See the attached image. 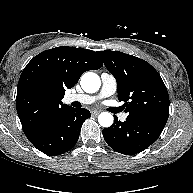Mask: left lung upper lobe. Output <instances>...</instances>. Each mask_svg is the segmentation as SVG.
<instances>
[{"instance_id":"5c2ea615","label":"left lung upper lobe","mask_w":193,"mask_h":193,"mask_svg":"<svg viewBox=\"0 0 193 193\" xmlns=\"http://www.w3.org/2000/svg\"><path fill=\"white\" fill-rule=\"evenodd\" d=\"M115 77L118 99L123 101L127 119L169 115V96L159 73L148 62L119 51H98Z\"/></svg>"}]
</instances>
